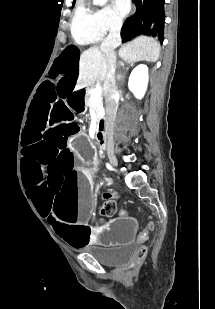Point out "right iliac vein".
Returning a JSON list of instances; mask_svg holds the SVG:
<instances>
[{"mask_svg":"<svg viewBox=\"0 0 215 309\" xmlns=\"http://www.w3.org/2000/svg\"><path fill=\"white\" fill-rule=\"evenodd\" d=\"M110 162L113 166H117V159L113 155L110 156Z\"/></svg>","mask_w":215,"mask_h":309,"instance_id":"1","label":"right iliac vein"}]
</instances>
